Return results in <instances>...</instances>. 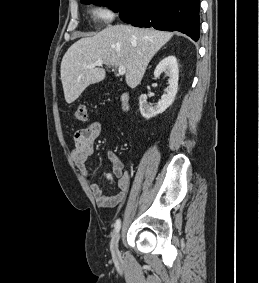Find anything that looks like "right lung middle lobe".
Here are the masks:
<instances>
[{
  "label": "right lung middle lobe",
  "instance_id": "1",
  "mask_svg": "<svg viewBox=\"0 0 259 283\" xmlns=\"http://www.w3.org/2000/svg\"><path fill=\"white\" fill-rule=\"evenodd\" d=\"M121 0H81L82 3L84 4H90L94 3L97 5H107V6H112L116 9V11L119 10L118 6L120 4Z\"/></svg>",
  "mask_w": 259,
  "mask_h": 283
}]
</instances>
